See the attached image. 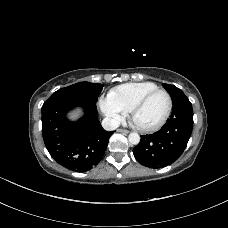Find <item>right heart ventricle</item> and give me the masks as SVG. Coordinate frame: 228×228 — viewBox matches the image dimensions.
<instances>
[{
  "instance_id": "e07e8e85",
  "label": "right heart ventricle",
  "mask_w": 228,
  "mask_h": 228,
  "mask_svg": "<svg viewBox=\"0 0 228 228\" xmlns=\"http://www.w3.org/2000/svg\"><path fill=\"white\" fill-rule=\"evenodd\" d=\"M157 88L158 85L153 82H132L113 88L108 96L123 111L128 112L137 100Z\"/></svg>"
}]
</instances>
